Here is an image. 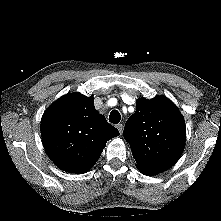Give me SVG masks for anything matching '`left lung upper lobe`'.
Segmentation results:
<instances>
[{
	"instance_id": "5c2ea615",
	"label": "left lung upper lobe",
	"mask_w": 221,
	"mask_h": 221,
	"mask_svg": "<svg viewBox=\"0 0 221 221\" xmlns=\"http://www.w3.org/2000/svg\"><path fill=\"white\" fill-rule=\"evenodd\" d=\"M124 138L138 170L155 175L168 170L180 158L186 141L185 121L166 97L140 98L136 112L125 124Z\"/></svg>"
}]
</instances>
